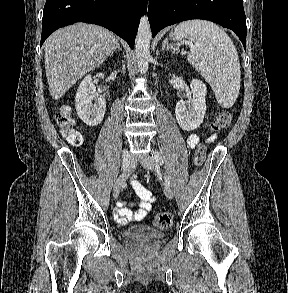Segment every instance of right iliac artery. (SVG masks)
Instances as JSON below:
<instances>
[{"mask_svg":"<svg viewBox=\"0 0 288 293\" xmlns=\"http://www.w3.org/2000/svg\"><path fill=\"white\" fill-rule=\"evenodd\" d=\"M121 164H122V170H129L130 160H129V156H127V150L126 149L122 150Z\"/></svg>","mask_w":288,"mask_h":293,"instance_id":"right-iliac-artery-1","label":"right iliac artery"}]
</instances>
